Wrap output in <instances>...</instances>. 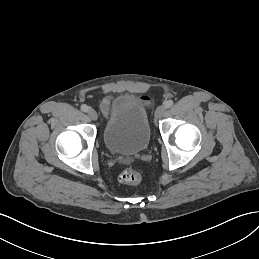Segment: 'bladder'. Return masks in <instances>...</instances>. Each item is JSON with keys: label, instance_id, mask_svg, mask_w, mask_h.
Instances as JSON below:
<instances>
[{"label": "bladder", "instance_id": "31cf9c89", "mask_svg": "<svg viewBox=\"0 0 259 259\" xmlns=\"http://www.w3.org/2000/svg\"><path fill=\"white\" fill-rule=\"evenodd\" d=\"M150 138L146 108L130 96L116 99L103 131L106 148L115 154L135 155L147 149Z\"/></svg>", "mask_w": 259, "mask_h": 259}]
</instances>
